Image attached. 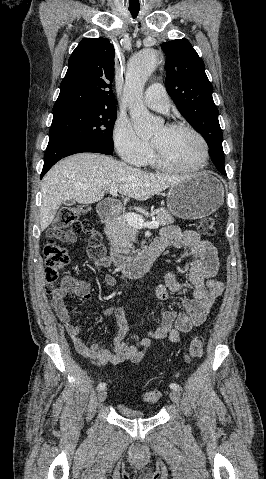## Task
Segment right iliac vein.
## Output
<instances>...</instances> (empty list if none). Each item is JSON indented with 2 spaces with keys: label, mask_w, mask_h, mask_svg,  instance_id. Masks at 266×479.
I'll use <instances>...</instances> for the list:
<instances>
[{
  "label": "right iliac vein",
  "mask_w": 266,
  "mask_h": 479,
  "mask_svg": "<svg viewBox=\"0 0 266 479\" xmlns=\"http://www.w3.org/2000/svg\"><path fill=\"white\" fill-rule=\"evenodd\" d=\"M106 397H107L106 389H102L98 392L97 398L99 403H102L106 399Z\"/></svg>",
  "instance_id": "63e3f726"
}]
</instances>
